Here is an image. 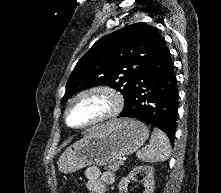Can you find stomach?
I'll use <instances>...</instances> for the list:
<instances>
[{
    "label": "stomach",
    "instance_id": "0dacf381",
    "mask_svg": "<svg viewBox=\"0 0 221 193\" xmlns=\"http://www.w3.org/2000/svg\"><path fill=\"white\" fill-rule=\"evenodd\" d=\"M148 137V127L141 121L113 120L95 126L84 138L68 147L57 165L63 173H73L90 165L103 166L132 154Z\"/></svg>",
    "mask_w": 221,
    "mask_h": 193
}]
</instances>
